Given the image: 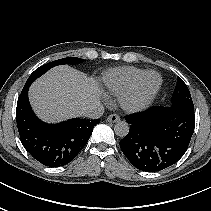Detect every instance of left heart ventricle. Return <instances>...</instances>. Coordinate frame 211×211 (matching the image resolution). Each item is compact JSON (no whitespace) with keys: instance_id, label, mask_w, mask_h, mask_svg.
<instances>
[{"instance_id":"left-heart-ventricle-1","label":"left heart ventricle","mask_w":211,"mask_h":211,"mask_svg":"<svg viewBox=\"0 0 211 211\" xmlns=\"http://www.w3.org/2000/svg\"><path fill=\"white\" fill-rule=\"evenodd\" d=\"M159 83V78L157 75L153 74L147 77L143 84V93H149L152 91Z\"/></svg>"}]
</instances>
